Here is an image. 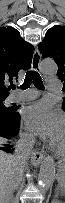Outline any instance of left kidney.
I'll return each instance as SVG.
<instances>
[{"label":"left kidney","instance_id":"5707ae66","mask_svg":"<svg viewBox=\"0 0 65 203\" xmlns=\"http://www.w3.org/2000/svg\"><path fill=\"white\" fill-rule=\"evenodd\" d=\"M53 203H62V202L58 201V202H53Z\"/></svg>","mask_w":65,"mask_h":203}]
</instances>
